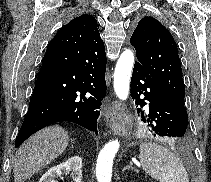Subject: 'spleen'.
Wrapping results in <instances>:
<instances>
[{
  "label": "spleen",
  "instance_id": "3e777b00",
  "mask_svg": "<svg viewBox=\"0 0 211 182\" xmlns=\"http://www.w3.org/2000/svg\"><path fill=\"white\" fill-rule=\"evenodd\" d=\"M140 163L144 171L159 182H189L180 158L156 143L140 145Z\"/></svg>",
  "mask_w": 211,
  "mask_h": 182
}]
</instances>
